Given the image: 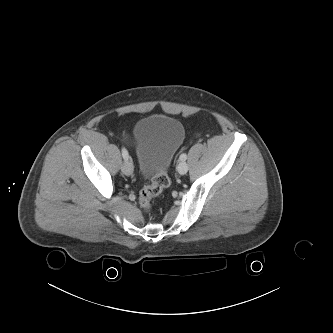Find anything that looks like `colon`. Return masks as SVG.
I'll list each match as a JSON object with an SVG mask.
<instances>
[{"instance_id": "5ec220e1", "label": "colon", "mask_w": 333, "mask_h": 333, "mask_svg": "<svg viewBox=\"0 0 333 333\" xmlns=\"http://www.w3.org/2000/svg\"><path fill=\"white\" fill-rule=\"evenodd\" d=\"M170 184L166 171L156 174L151 184L145 186L139 193V204L145 212L151 209L152 200L160 195Z\"/></svg>"}]
</instances>
